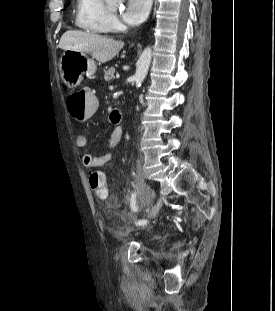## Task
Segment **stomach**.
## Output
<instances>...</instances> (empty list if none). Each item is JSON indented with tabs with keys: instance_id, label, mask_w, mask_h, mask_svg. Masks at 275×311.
Listing matches in <instances>:
<instances>
[{
	"instance_id": "1",
	"label": "stomach",
	"mask_w": 275,
	"mask_h": 311,
	"mask_svg": "<svg viewBox=\"0 0 275 311\" xmlns=\"http://www.w3.org/2000/svg\"><path fill=\"white\" fill-rule=\"evenodd\" d=\"M96 69L95 61L83 52L66 50L60 59L61 77L68 88H76L84 75L92 77Z\"/></svg>"
}]
</instances>
